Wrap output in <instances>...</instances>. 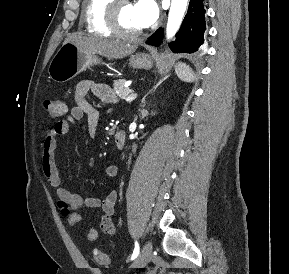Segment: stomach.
<instances>
[{
	"instance_id": "1",
	"label": "stomach",
	"mask_w": 289,
	"mask_h": 274,
	"mask_svg": "<svg viewBox=\"0 0 289 274\" xmlns=\"http://www.w3.org/2000/svg\"><path fill=\"white\" fill-rule=\"evenodd\" d=\"M101 62L95 54L80 49L71 42H65L52 58L49 67V78L57 83H64ZM129 65L137 69H150L153 65L152 57L146 53L131 55Z\"/></svg>"
}]
</instances>
